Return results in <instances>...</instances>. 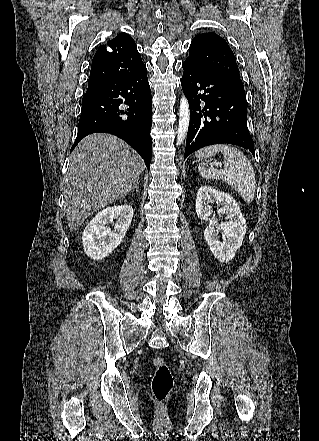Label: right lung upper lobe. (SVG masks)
Here are the masks:
<instances>
[{"instance_id":"right-lung-upper-lobe-1","label":"right lung upper lobe","mask_w":319,"mask_h":441,"mask_svg":"<svg viewBox=\"0 0 319 441\" xmlns=\"http://www.w3.org/2000/svg\"><path fill=\"white\" fill-rule=\"evenodd\" d=\"M107 46L112 51H108ZM142 65L144 64L132 37L124 32L120 33L96 51L87 91Z\"/></svg>"}]
</instances>
